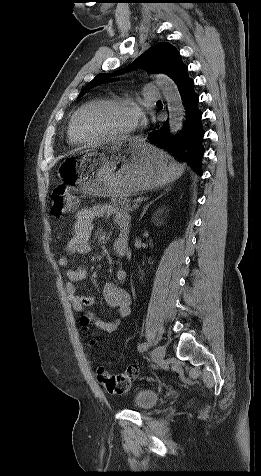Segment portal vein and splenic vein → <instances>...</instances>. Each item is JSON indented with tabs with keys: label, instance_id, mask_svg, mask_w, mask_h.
Returning <instances> with one entry per match:
<instances>
[{
	"label": "portal vein and splenic vein",
	"instance_id": "1",
	"mask_svg": "<svg viewBox=\"0 0 261 476\" xmlns=\"http://www.w3.org/2000/svg\"><path fill=\"white\" fill-rule=\"evenodd\" d=\"M138 207H139V203L137 201H134L133 208H138Z\"/></svg>",
	"mask_w": 261,
	"mask_h": 476
}]
</instances>
